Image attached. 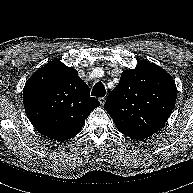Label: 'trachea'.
<instances>
[{"mask_svg":"<svg viewBox=\"0 0 193 193\" xmlns=\"http://www.w3.org/2000/svg\"><path fill=\"white\" fill-rule=\"evenodd\" d=\"M105 94H106L105 86L101 82L96 83L95 86L93 87L91 95L96 97H104Z\"/></svg>","mask_w":193,"mask_h":193,"instance_id":"3493384b","label":"trachea"}]
</instances>
